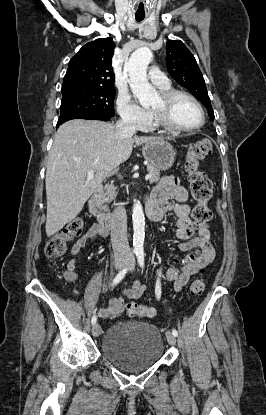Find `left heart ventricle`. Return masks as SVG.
Listing matches in <instances>:
<instances>
[{
    "instance_id": "left-heart-ventricle-1",
    "label": "left heart ventricle",
    "mask_w": 266,
    "mask_h": 415,
    "mask_svg": "<svg viewBox=\"0 0 266 415\" xmlns=\"http://www.w3.org/2000/svg\"><path fill=\"white\" fill-rule=\"evenodd\" d=\"M152 108L162 109L163 103L158 96L152 104ZM167 115L176 125L181 127H192L199 124L201 115L196 105L186 97H177L168 107Z\"/></svg>"
}]
</instances>
